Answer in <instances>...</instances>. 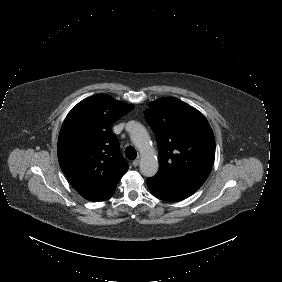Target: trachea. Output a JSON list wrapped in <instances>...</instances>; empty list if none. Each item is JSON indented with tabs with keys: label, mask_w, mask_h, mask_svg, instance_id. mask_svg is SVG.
I'll return each mask as SVG.
<instances>
[{
	"label": "trachea",
	"mask_w": 282,
	"mask_h": 282,
	"mask_svg": "<svg viewBox=\"0 0 282 282\" xmlns=\"http://www.w3.org/2000/svg\"><path fill=\"white\" fill-rule=\"evenodd\" d=\"M125 155L128 159L134 160L137 156V151L135 150L133 146H128L125 149Z\"/></svg>",
	"instance_id": "obj_1"
}]
</instances>
